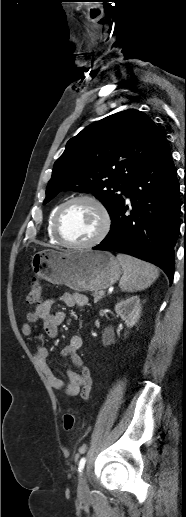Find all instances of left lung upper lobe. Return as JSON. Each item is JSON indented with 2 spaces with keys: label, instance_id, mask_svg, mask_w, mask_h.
<instances>
[{
  "label": "left lung upper lobe",
  "instance_id": "obj_1",
  "mask_svg": "<svg viewBox=\"0 0 186 517\" xmlns=\"http://www.w3.org/2000/svg\"><path fill=\"white\" fill-rule=\"evenodd\" d=\"M164 139L155 123L134 109L92 123L67 142L56 160L43 204L60 191L91 192L112 217L125 202L128 183Z\"/></svg>",
  "mask_w": 186,
  "mask_h": 517
}]
</instances>
